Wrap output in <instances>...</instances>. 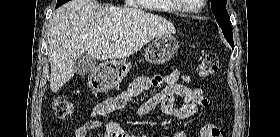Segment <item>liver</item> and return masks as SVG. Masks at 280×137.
<instances>
[{"label":"liver","instance_id":"obj_1","mask_svg":"<svg viewBox=\"0 0 280 137\" xmlns=\"http://www.w3.org/2000/svg\"><path fill=\"white\" fill-rule=\"evenodd\" d=\"M173 33L175 27L168 20L139 9L69 1L53 12L49 23L50 89L57 92L74 76L77 56L88 53L100 61L124 59L152 39ZM114 35L118 39L111 44Z\"/></svg>","mask_w":280,"mask_h":137}]
</instances>
